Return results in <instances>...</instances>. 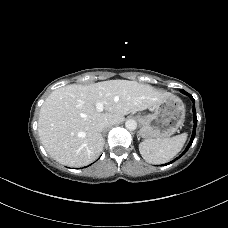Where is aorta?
I'll return each instance as SVG.
<instances>
[{"label":"aorta","mask_w":228,"mask_h":228,"mask_svg":"<svg viewBox=\"0 0 228 228\" xmlns=\"http://www.w3.org/2000/svg\"><path fill=\"white\" fill-rule=\"evenodd\" d=\"M125 127L127 130H130V131H133L136 129L137 127V123L135 120L133 119H128L126 122H125Z\"/></svg>","instance_id":"aorta-1"}]
</instances>
